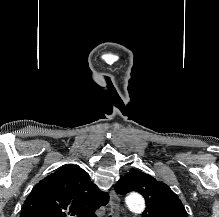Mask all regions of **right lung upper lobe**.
Segmentation results:
<instances>
[{
    "instance_id": "right-lung-upper-lobe-1",
    "label": "right lung upper lobe",
    "mask_w": 219,
    "mask_h": 217,
    "mask_svg": "<svg viewBox=\"0 0 219 217\" xmlns=\"http://www.w3.org/2000/svg\"><path fill=\"white\" fill-rule=\"evenodd\" d=\"M108 194L78 165H65L41 180L24 202L20 217H96Z\"/></svg>"
}]
</instances>
